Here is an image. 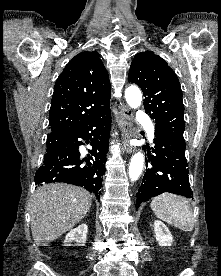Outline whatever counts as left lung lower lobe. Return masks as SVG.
<instances>
[{
  "mask_svg": "<svg viewBox=\"0 0 221 276\" xmlns=\"http://www.w3.org/2000/svg\"><path fill=\"white\" fill-rule=\"evenodd\" d=\"M155 146L148 151L146 172L136 194V208L164 192L192 197L188 180L185 144L175 137L155 132Z\"/></svg>",
  "mask_w": 221,
  "mask_h": 276,
  "instance_id": "1",
  "label": "left lung lower lobe"
}]
</instances>
